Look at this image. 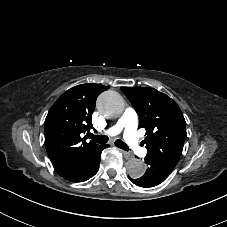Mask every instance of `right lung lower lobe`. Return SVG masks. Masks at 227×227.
I'll return each instance as SVG.
<instances>
[{
  "mask_svg": "<svg viewBox=\"0 0 227 227\" xmlns=\"http://www.w3.org/2000/svg\"><path fill=\"white\" fill-rule=\"evenodd\" d=\"M108 146L109 145H99L97 148L91 150L85 156L81 165L73 171L65 172L60 169H55V171L59 176L72 182L86 181L97 173L101 159V152Z\"/></svg>",
  "mask_w": 227,
  "mask_h": 227,
  "instance_id": "98d812e1",
  "label": "right lung lower lobe"
}]
</instances>
